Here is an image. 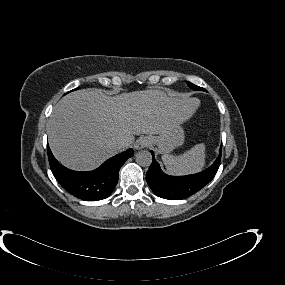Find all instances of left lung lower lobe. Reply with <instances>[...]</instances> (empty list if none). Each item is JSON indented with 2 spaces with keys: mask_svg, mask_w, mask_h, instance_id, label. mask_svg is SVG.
<instances>
[{
  "mask_svg": "<svg viewBox=\"0 0 285 285\" xmlns=\"http://www.w3.org/2000/svg\"><path fill=\"white\" fill-rule=\"evenodd\" d=\"M152 164L146 174V181L152 191L159 197L169 200L185 199L207 185L216 175L221 159L220 154L213 165L207 170L187 176H169L160 168L158 162L154 158Z\"/></svg>",
  "mask_w": 285,
  "mask_h": 285,
  "instance_id": "left-lung-lower-lobe-1",
  "label": "left lung lower lobe"
}]
</instances>
